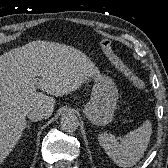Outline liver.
Masks as SVG:
<instances>
[{"label": "liver", "mask_w": 168, "mask_h": 168, "mask_svg": "<svg viewBox=\"0 0 168 168\" xmlns=\"http://www.w3.org/2000/svg\"><path fill=\"white\" fill-rule=\"evenodd\" d=\"M96 76L99 70L90 59L65 44L38 40L1 55L0 164L19 141L31 109L43 110L50 117L54 96L76 91Z\"/></svg>", "instance_id": "obj_1"}]
</instances>
